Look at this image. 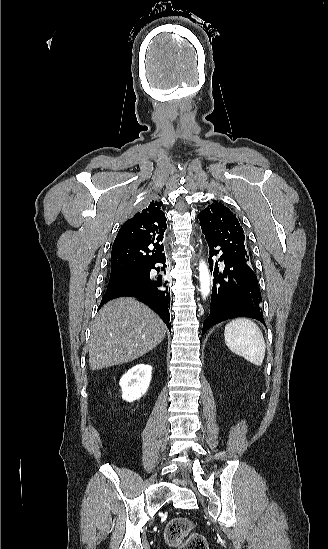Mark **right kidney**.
I'll use <instances>...</instances> for the list:
<instances>
[{
	"mask_svg": "<svg viewBox=\"0 0 328 549\" xmlns=\"http://www.w3.org/2000/svg\"><path fill=\"white\" fill-rule=\"evenodd\" d=\"M152 367L151 365H135L129 369L119 381L122 389V397L125 401H136L142 395H145L151 381Z\"/></svg>",
	"mask_w": 328,
	"mask_h": 549,
	"instance_id": "obj_1",
	"label": "right kidney"
}]
</instances>
